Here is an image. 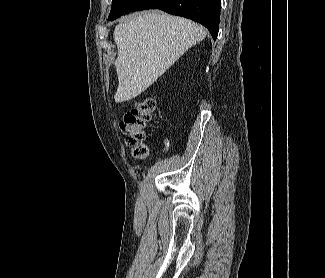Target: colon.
<instances>
[{
	"mask_svg": "<svg viewBox=\"0 0 325 278\" xmlns=\"http://www.w3.org/2000/svg\"><path fill=\"white\" fill-rule=\"evenodd\" d=\"M155 110V99L150 97L137 99L120 122V129L126 137V143L132 148L133 156L138 160L144 159L148 154L144 141Z\"/></svg>",
	"mask_w": 325,
	"mask_h": 278,
	"instance_id": "5ec220e1",
	"label": "colon"
}]
</instances>
